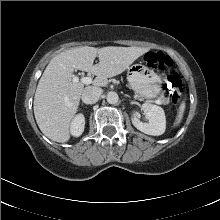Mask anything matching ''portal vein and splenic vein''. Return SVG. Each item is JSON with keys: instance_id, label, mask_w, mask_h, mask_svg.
Masks as SVG:
<instances>
[{"instance_id": "18ae733b", "label": "portal vein and splenic vein", "mask_w": 220, "mask_h": 220, "mask_svg": "<svg viewBox=\"0 0 220 220\" xmlns=\"http://www.w3.org/2000/svg\"><path fill=\"white\" fill-rule=\"evenodd\" d=\"M78 81H79L78 77L75 76V77L73 78V82H78ZM81 82H82L83 84L89 85V84H91L93 81H92V78H91V77H82V78H81ZM154 102L157 103V104H161V103H162L160 100H154Z\"/></svg>"}]
</instances>
